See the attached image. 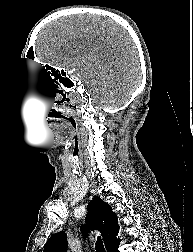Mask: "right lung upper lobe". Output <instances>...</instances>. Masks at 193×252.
Masks as SVG:
<instances>
[{"label": "right lung upper lobe", "mask_w": 193, "mask_h": 252, "mask_svg": "<svg viewBox=\"0 0 193 252\" xmlns=\"http://www.w3.org/2000/svg\"><path fill=\"white\" fill-rule=\"evenodd\" d=\"M87 211L86 226H81L82 234L86 237L88 229L97 228L103 237L107 252H113L120 242L116 238L119 231L117 215L107 203L97 196L89 202ZM67 247L65 234L59 232L48 239L43 252H67Z\"/></svg>", "instance_id": "obj_1"}]
</instances>
